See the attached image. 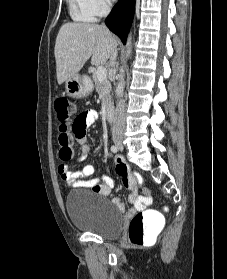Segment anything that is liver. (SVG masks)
I'll list each match as a JSON object with an SVG mask.
<instances>
[{
	"instance_id": "liver-1",
	"label": "liver",
	"mask_w": 227,
	"mask_h": 279,
	"mask_svg": "<svg viewBox=\"0 0 227 279\" xmlns=\"http://www.w3.org/2000/svg\"><path fill=\"white\" fill-rule=\"evenodd\" d=\"M116 46V37L105 26L76 22L63 24L54 50L58 84L77 74L90 57L93 65L106 64Z\"/></svg>"
}]
</instances>
